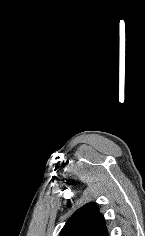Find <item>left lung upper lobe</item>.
<instances>
[{
	"label": "left lung upper lobe",
	"instance_id": "obj_1",
	"mask_svg": "<svg viewBox=\"0 0 145 236\" xmlns=\"http://www.w3.org/2000/svg\"><path fill=\"white\" fill-rule=\"evenodd\" d=\"M61 236H107L98 206L91 202L79 208L62 228Z\"/></svg>",
	"mask_w": 145,
	"mask_h": 236
}]
</instances>
